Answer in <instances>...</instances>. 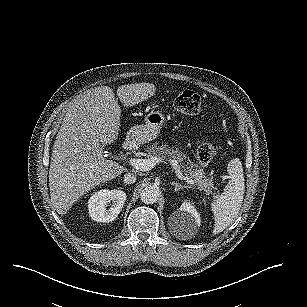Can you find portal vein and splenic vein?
<instances>
[{
  "label": "portal vein and splenic vein",
  "mask_w": 307,
  "mask_h": 307,
  "mask_svg": "<svg viewBox=\"0 0 307 307\" xmlns=\"http://www.w3.org/2000/svg\"><path fill=\"white\" fill-rule=\"evenodd\" d=\"M160 160L157 157H151L149 159H134L131 158L129 160V164L135 168L136 170H140V171H149L151 169H153L155 167V165L159 162ZM175 167V170L177 171V176L181 179V180H185L188 184L193 185L194 184V180L190 179L187 176H183L180 172L179 169H177L178 164L174 163L173 164Z\"/></svg>",
  "instance_id": "1"
}]
</instances>
